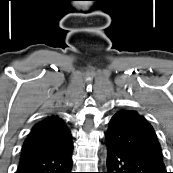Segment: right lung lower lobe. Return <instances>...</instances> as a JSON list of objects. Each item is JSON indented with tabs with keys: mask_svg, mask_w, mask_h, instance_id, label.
<instances>
[{
	"mask_svg": "<svg viewBox=\"0 0 173 173\" xmlns=\"http://www.w3.org/2000/svg\"><path fill=\"white\" fill-rule=\"evenodd\" d=\"M72 150L70 144L50 152L21 157L16 173H72Z\"/></svg>",
	"mask_w": 173,
	"mask_h": 173,
	"instance_id": "right-lung-lower-lobe-1",
	"label": "right lung lower lobe"
}]
</instances>
